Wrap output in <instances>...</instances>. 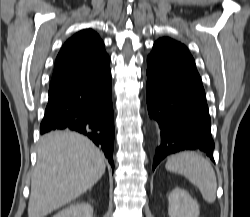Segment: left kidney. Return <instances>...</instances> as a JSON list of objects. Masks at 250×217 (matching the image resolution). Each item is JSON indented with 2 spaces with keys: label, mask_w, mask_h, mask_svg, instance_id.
<instances>
[{
  "label": "left kidney",
  "mask_w": 250,
  "mask_h": 217,
  "mask_svg": "<svg viewBox=\"0 0 250 217\" xmlns=\"http://www.w3.org/2000/svg\"><path fill=\"white\" fill-rule=\"evenodd\" d=\"M199 205L182 188H175L168 195V215L169 217H198Z\"/></svg>",
  "instance_id": "obj_1"
}]
</instances>
